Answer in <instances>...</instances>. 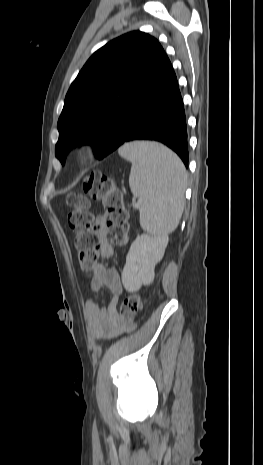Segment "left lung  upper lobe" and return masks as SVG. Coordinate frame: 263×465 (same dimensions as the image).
Wrapping results in <instances>:
<instances>
[{
  "label": "left lung upper lobe",
  "mask_w": 263,
  "mask_h": 465,
  "mask_svg": "<svg viewBox=\"0 0 263 465\" xmlns=\"http://www.w3.org/2000/svg\"><path fill=\"white\" fill-rule=\"evenodd\" d=\"M163 52L154 37L133 31L89 58L71 84L58 120L55 155L61 163L78 144H92L96 155L102 151L121 110L132 103L140 80Z\"/></svg>",
  "instance_id": "1"
}]
</instances>
